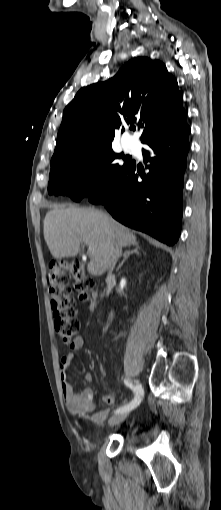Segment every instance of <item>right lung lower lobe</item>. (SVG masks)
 <instances>
[{
  "label": "right lung lower lobe",
  "mask_w": 221,
  "mask_h": 510,
  "mask_svg": "<svg viewBox=\"0 0 221 510\" xmlns=\"http://www.w3.org/2000/svg\"><path fill=\"white\" fill-rule=\"evenodd\" d=\"M190 127H180L146 137L142 143L149 172L135 161L109 187L89 198L102 203L122 224L173 246L180 235L183 175L189 151Z\"/></svg>",
  "instance_id": "98d812e1"
}]
</instances>
